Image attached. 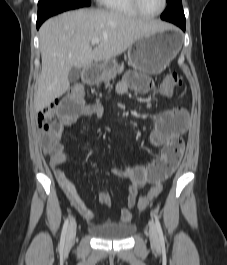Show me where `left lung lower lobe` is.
<instances>
[{"label":"left lung lower lobe","mask_w":227,"mask_h":265,"mask_svg":"<svg viewBox=\"0 0 227 265\" xmlns=\"http://www.w3.org/2000/svg\"><path fill=\"white\" fill-rule=\"evenodd\" d=\"M172 23L178 25L180 28H182L185 31V21L176 20V21H173Z\"/></svg>","instance_id":"0a47b994"}]
</instances>
